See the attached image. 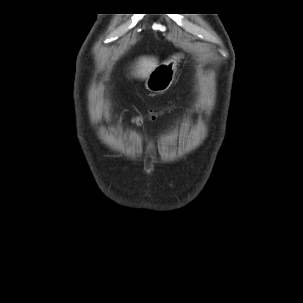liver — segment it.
<instances>
[{
    "label": "liver",
    "mask_w": 303,
    "mask_h": 303,
    "mask_svg": "<svg viewBox=\"0 0 303 303\" xmlns=\"http://www.w3.org/2000/svg\"><path fill=\"white\" fill-rule=\"evenodd\" d=\"M157 65L158 61L154 58H142L137 64L135 74L140 78L146 79Z\"/></svg>",
    "instance_id": "liver-1"
}]
</instances>
